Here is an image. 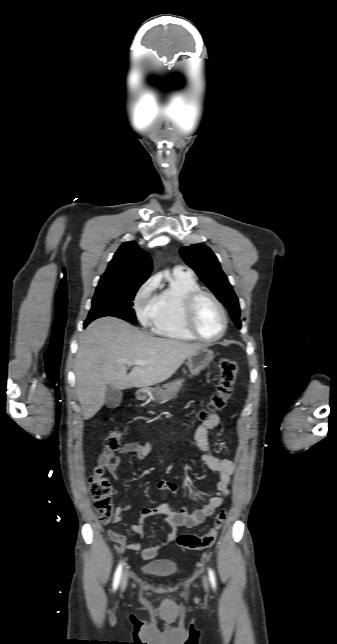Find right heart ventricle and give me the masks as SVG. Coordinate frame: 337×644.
Segmentation results:
<instances>
[{"mask_svg":"<svg viewBox=\"0 0 337 644\" xmlns=\"http://www.w3.org/2000/svg\"><path fill=\"white\" fill-rule=\"evenodd\" d=\"M197 289H200V285L191 272L174 270L168 278V285L157 295L155 315L151 322L153 332L177 341H195L185 327L183 309L186 297Z\"/></svg>","mask_w":337,"mask_h":644,"instance_id":"e07e8e85","label":"right heart ventricle"}]
</instances>
